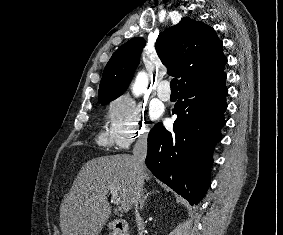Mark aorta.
Segmentation results:
<instances>
[{"label": "aorta", "mask_w": 283, "mask_h": 235, "mask_svg": "<svg viewBox=\"0 0 283 235\" xmlns=\"http://www.w3.org/2000/svg\"><path fill=\"white\" fill-rule=\"evenodd\" d=\"M148 77L145 72L138 73L132 86V92L135 96H139L147 87Z\"/></svg>", "instance_id": "1"}]
</instances>
